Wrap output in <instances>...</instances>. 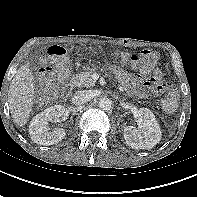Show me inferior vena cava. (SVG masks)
<instances>
[{
  "label": "inferior vena cava",
  "mask_w": 197,
  "mask_h": 197,
  "mask_svg": "<svg viewBox=\"0 0 197 197\" xmlns=\"http://www.w3.org/2000/svg\"><path fill=\"white\" fill-rule=\"evenodd\" d=\"M91 97L88 93V91H77L74 93L72 98V103L75 105H83L90 101Z\"/></svg>",
  "instance_id": "602c4592"
}]
</instances>
